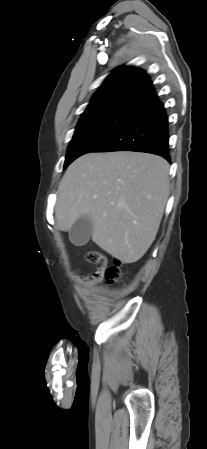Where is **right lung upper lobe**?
I'll return each mask as SVG.
<instances>
[{"mask_svg":"<svg viewBox=\"0 0 207 449\" xmlns=\"http://www.w3.org/2000/svg\"><path fill=\"white\" fill-rule=\"evenodd\" d=\"M157 100L146 73L134 67H118L93 95L82 116L112 110L136 113Z\"/></svg>","mask_w":207,"mask_h":449,"instance_id":"right-lung-upper-lobe-1","label":"right lung upper lobe"}]
</instances>
